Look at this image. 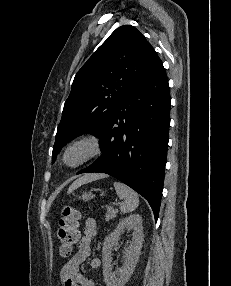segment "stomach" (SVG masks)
I'll use <instances>...</instances> for the list:
<instances>
[{
    "label": "stomach",
    "instance_id": "obj_1",
    "mask_svg": "<svg viewBox=\"0 0 231 286\" xmlns=\"http://www.w3.org/2000/svg\"><path fill=\"white\" fill-rule=\"evenodd\" d=\"M104 194H105L104 192H101L100 195L103 196ZM94 197L95 195L92 192H84L80 198L84 201H89L90 199Z\"/></svg>",
    "mask_w": 231,
    "mask_h": 286
}]
</instances>
